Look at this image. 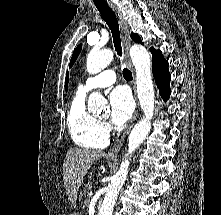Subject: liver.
Returning a JSON list of instances; mask_svg holds the SVG:
<instances>
[{
  "label": "liver",
  "mask_w": 221,
  "mask_h": 215,
  "mask_svg": "<svg viewBox=\"0 0 221 215\" xmlns=\"http://www.w3.org/2000/svg\"><path fill=\"white\" fill-rule=\"evenodd\" d=\"M104 156L103 151L81 148H72L67 152L63 164V181L73 207L76 206L78 191L87 171L96 160Z\"/></svg>",
  "instance_id": "obj_1"
}]
</instances>
